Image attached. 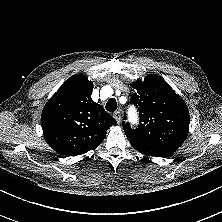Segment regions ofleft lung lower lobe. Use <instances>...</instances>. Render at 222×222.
Instances as JSON below:
<instances>
[{"instance_id":"left-lung-lower-lobe-1","label":"left lung lower lobe","mask_w":222,"mask_h":222,"mask_svg":"<svg viewBox=\"0 0 222 222\" xmlns=\"http://www.w3.org/2000/svg\"><path fill=\"white\" fill-rule=\"evenodd\" d=\"M131 145L140 153L154 157H165L176 150L175 148H170V147H148L140 144H131Z\"/></svg>"}]
</instances>
